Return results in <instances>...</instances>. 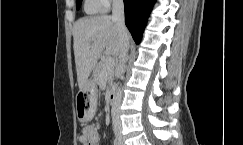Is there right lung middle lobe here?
Listing matches in <instances>:
<instances>
[{
  "label": "right lung middle lobe",
  "mask_w": 243,
  "mask_h": 145,
  "mask_svg": "<svg viewBox=\"0 0 243 145\" xmlns=\"http://www.w3.org/2000/svg\"><path fill=\"white\" fill-rule=\"evenodd\" d=\"M81 2H82V0H77V1H76V7H77V9H79V7H80V5H81Z\"/></svg>",
  "instance_id": "right-lung-middle-lobe-1"
}]
</instances>
